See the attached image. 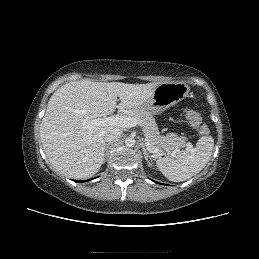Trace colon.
<instances>
[{
	"label": "colon",
	"instance_id": "1",
	"mask_svg": "<svg viewBox=\"0 0 259 259\" xmlns=\"http://www.w3.org/2000/svg\"><path fill=\"white\" fill-rule=\"evenodd\" d=\"M186 117L189 120L190 124L201 134H208V129L203 123L200 115L192 110L186 112Z\"/></svg>",
	"mask_w": 259,
	"mask_h": 259
}]
</instances>
